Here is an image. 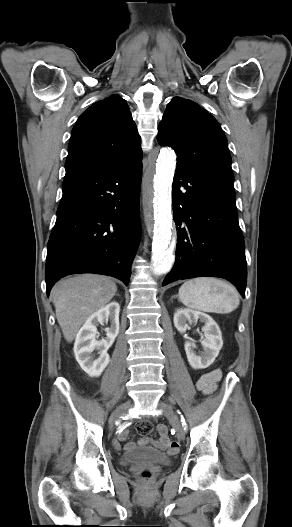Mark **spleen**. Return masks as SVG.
<instances>
[{
	"instance_id": "obj_1",
	"label": "spleen",
	"mask_w": 292,
	"mask_h": 527,
	"mask_svg": "<svg viewBox=\"0 0 292 527\" xmlns=\"http://www.w3.org/2000/svg\"><path fill=\"white\" fill-rule=\"evenodd\" d=\"M179 300L187 307L204 312L230 313L239 303L235 287L210 277L190 279L179 288Z\"/></svg>"
}]
</instances>
